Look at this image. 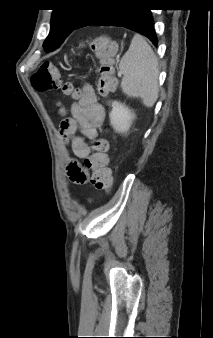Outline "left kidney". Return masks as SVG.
<instances>
[{"mask_svg":"<svg viewBox=\"0 0 213 338\" xmlns=\"http://www.w3.org/2000/svg\"><path fill=\"white\" fill-rule=\"evenodd\" d=\"M109 117L111 125L117 132H127L131 127L135 114L124 104L114 101Z\"/></svg>","mask_w":213,"mask_h":338,"instance_id":"5707ae66","label":"left kidney"}]
</instances>
